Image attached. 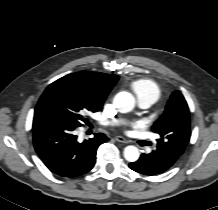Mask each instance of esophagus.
Instances as JSON below:
<instances>
[{"instance_id":"34e87169","label":"esophagus","mask_w":218,"mask_h":210,"mask_svg":"<svg viewBox=\"0 0 218 210\" xmlns=\"http://www.w3.org/2000/svg\"><path fill=\"white\" fill-rule=\"evenodd\" d=\"M115 140H116L117 142L124 143V144H127V143H128V140H127L126 138L122 137V136H116V137H115Z\"/></svg>"}]
</instances>
